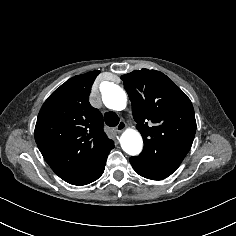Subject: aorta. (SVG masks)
<instances>
[{
    "mask_svg": "<svg viewBox=\"0 0 236 236\" xmlns=\"http://www.w3.org/2000/svg\"><path fill=\"white\" fill-rule=\"evenodd\" d=\"M102 100L106 107L121 111L126 107L127 95L118 85L108 83L102 91ZM122 149L129 155H138L143 148V140L140 133L133 129H127L120 138Z\"/></svg>",
    "mask_w": 236,
    "mask_h": 236,
    "instance_id": "762f6f07",
    "label": "aorta"
}]
</instances>
